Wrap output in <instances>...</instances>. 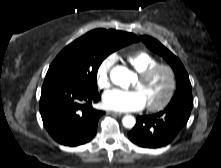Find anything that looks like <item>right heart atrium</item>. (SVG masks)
<instances>
[{
    "mask_svg": "<svg viewBox=\"0 0 221 168\" xmlns=\"http://www.w3.org/2000/svg\"><path fill=\"white\" fill-rule=\"evenodd\" d=\"M116 57L111 54L104 58L96 71V82L100 89H107L111 85L110 73L115 64Z\"/></svg>",
    "mask_w": 221,
    "mask_h": 168,
    "instance_id": "right-heart-atrium-1",
    "label": "right heart atrium"
}]
</instances>
